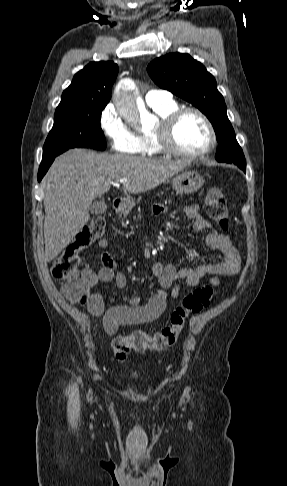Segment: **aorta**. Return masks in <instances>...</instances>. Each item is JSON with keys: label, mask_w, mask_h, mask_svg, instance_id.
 <instances>
[{"label": "aorta", "mask_w": 287, "mask_h": 486, "mask_svg": "<svg viewBox=\"0 0 287 486\" xmlns=\"http://www.w3.org/2000/svg\"><path fill=\"white\" fill-rule=\"evenodd\" d=\"M116 107L119 114L129 123L140 122L142 127H151L155 124V117L150 114L134 90L120 84L116 90Z\"/></svg>", "instance_id": "aorta-1"}]
</instances>
